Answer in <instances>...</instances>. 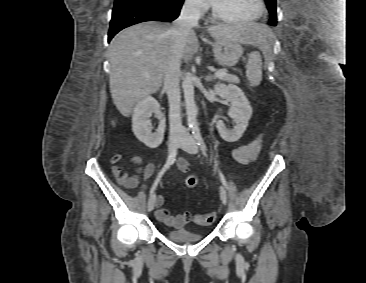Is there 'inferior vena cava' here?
Returning a JSON list of instances; mask_svg holds the SVG:
<instances>
[{
  "label": "inferior vena cava",
  "mask_w": 366,
  "mask_h": 283,
  "mask_svg": "<svg viewBox=\"0 0 366 283\" xmlns=\"http://www.w3.org/2000/svg\"><path fill=\"white\" fill-rule=\"evenodd\" d=\"M201 9L196 0H185L179 17L173 22L170 33L174 43L168 57L164 75V86L169 101L170 134L174 135L182 130L180 117V78L181 57L188 33L192 27L198 25Z\"/></svg>",
  "instance_id": "inferior-vena-cava-1"
}]
</instances>
